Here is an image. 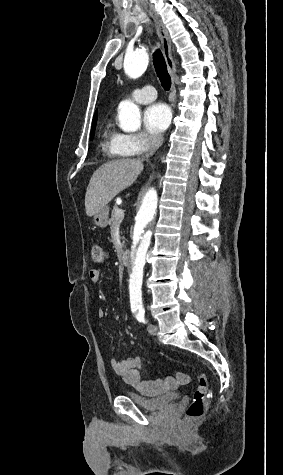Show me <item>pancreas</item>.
Here are the masks:
<instances>
[{
	"label": "pancreas",
	"instance_id": "cf45deb5",
	"mask_svg": "<svg viewBox=\"0 0 283 475\" xmlns=\"http://www.w3.org/2000/svg\"><path fill=\"white\" fill-rule=\"evenodd\" d=\"M120 212H121L120 208H118V206H114L112 210V214H111L110 224H112V222H117V220H123L124 216H121ZM123 245H124V241H123Z\"/></svg>",
	"mask_w": 283,
	"mask_h": 475
}]
</instances>
